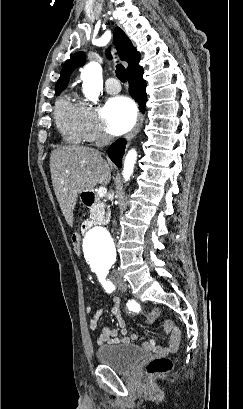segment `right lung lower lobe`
Masks as SVG:
<instances>
[{
    "instance_id": "right-lung-lower-lobe-1",
    "label": "right lung lower lobe",
    "mask_w": 243,
    "mask_h": 409,
    "mask_svg": "<svg viewBox=\"0 0 243 409\" xmlns=\"http://www.w3.org/2000/svg\"><path fill=\"white\" fill-rule=\"evenodd\" d=\"M143 71L137 72L132 76H128L130 95L138 102L140 108L143 110L145 108V103L147 100L146 97V82L142 77ZM126 141L123 139L117 140L113 143L109 150L108 154L110 159L118 166L122 165V157L124 154Z\"/></svg>"
}]
</instances>
